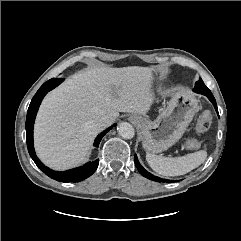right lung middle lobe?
Here are the masks:
<instances>
[{
  "label": "right lung middle lobe",
  "mask_w": 241,
  "mask_h": 241,
  "mask_svg": "<svg viewBox=\"0 0 241 241\" xmlns=\"http://www.w3.org/2000/svg\"><path fill=\"white\" fill-rule=\"evenodd\" d=\"M62 81H63L62 78H53V79H50L49 81H47L46 83H44L42 86L47 87V86L53 85L54 83H56V86H58Z\"/></svg>",
  "instance_id": "dd1d6c3e"
}]
</instances>
